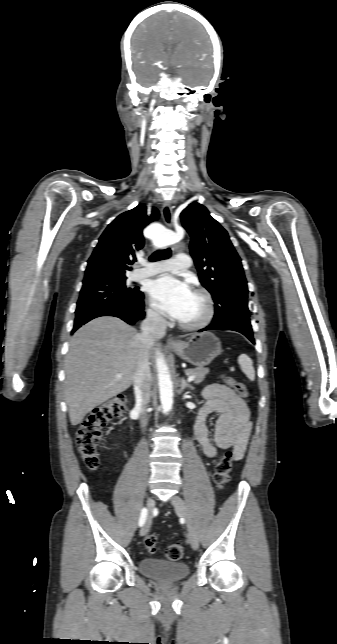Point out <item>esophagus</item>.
I'll use <instances>...</instances> for the list:
<instances>
[{"instance_id":"1","label":"esophagus","mask_w":337,"mask_h":644,"mask_svg":"<svg viewBox=\"0 0 337 644\" xmlns=\"http://www.w3.org/2000/svg\"><path fill=\"white\" fill-rule=\"evenodd\" d=\"M161 213H162V218H163V221H164L165 225L167 227H170V228L173 227V224H174L173 223V209H172V205H171L170 202H165L163 204ZM172 249L173 250L177 249V246L176 245L172 246ZM179 344H180L179 340L174 338V337H170L168 339V345H170V346H177Z\"/></svg>"}]
</instances>
